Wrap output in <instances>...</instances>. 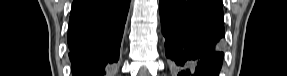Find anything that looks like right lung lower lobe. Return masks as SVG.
Wrapping results in <instances>:
<instances>
[{"mask_svg":"<svg viewBox=\"0 0 287 76\" xmlns=\"http://www.w3.org/2000/svg\"><path fill=\"white\" fill-rule=\"evenodd\" d=\"M130 0H74L68 47L74 76H110L119 60Z\"/></svg>","mask_w":287,"mask_h":76,"instance_id":"obj_1","label":"right lung lower lobe"}]
</instances>
